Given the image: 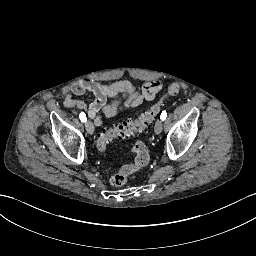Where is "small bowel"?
I'll use <instances>...</instances> for the list:
<instances>
[{
	"label": "small bowel",
	"instance_id": "small-bowel-1",
	"mask_svg": "<svg viewBox=\"0 0 256 256\" xmlns=\"http://www.w3.org/2000/svg\"><path fill=\"white\" fill-rule=\"evenodd\" d=\"M162 90V83L156 80L146 82L141 87L127 80L103 84L94 80H82L63 91V105L67 109L87 112L97 126L103 124L102 116L114 117L123 107H137L143 101H151ZM90 92L95 99L90 104L74 96ZM111 101L108 103V99Z\"/></svg>",
	"mask_w": 256,
	"mask_h": 256
}]
</instances>
